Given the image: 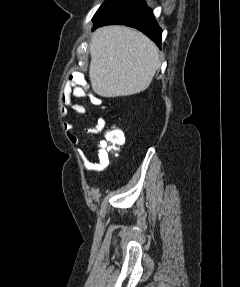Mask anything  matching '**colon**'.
Returning a JSON list of instances; mask_svg holds the SVG:
<instances>
[{"mask_svg":"<svg viewBox=\"0 0 240 287\" xmlns=\"http://www.w3.org/2000/svg\"><path fill=\"white\" fill-rule=\"evenodd\" d=\"M95 102L99 103L100 100L95 98ZM105 136L109 150H116L119 146L123 145L125 142L124 132L120 128L115 126L107 130Z\"/></svg>","mask_w":240,"mask_h":287,"instance_id":"colon-1","label":"colon"}]
</instances>
